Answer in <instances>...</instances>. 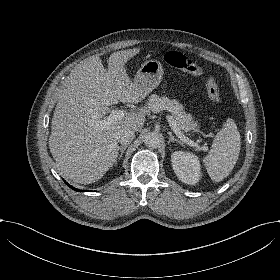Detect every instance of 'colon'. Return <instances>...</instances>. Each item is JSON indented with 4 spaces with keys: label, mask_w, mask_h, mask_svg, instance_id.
Segmentation results:
<instances>
[{
    "label": "colon",
    "mask_w": 280,
    "mask_h": 280,
    "mask_svg": "<svg viewBox=\"0 0 280 280\" xmlns=\"http://www.w3.org/2000/svg\"><path fill=\"white\" fill-rule=\"evenodd\" d=\"M166 59L170 65L187 71L190 75H196L200 71V65L198 62L192 61L185 54H178L175 50L168 51ZM206 89L209 99L214 103H219L221 100L220 90L216 81L212 77L206 79Z\"/></svg>",
    "instance_id": "colon-1"
}]
</instances>
